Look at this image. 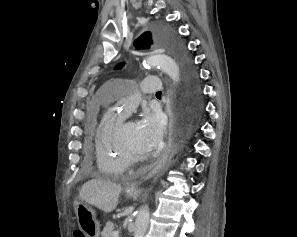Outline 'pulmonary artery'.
<instances>
[{
	"instance_id": "1",
	"label": "pulmonary artery",
	"mask_w": 297,
	"mask_h": 237,
	"mask_svg": "<svg viewBox=\"0 0 297 237\" xmlns=\"http://www.w3.org/2000/svg\"><path fill=\"white\" fill-rule=\"evenodd\" d=\"M160 89L159 79L154 76L144 78L139 86H122L119 89L120 98L117 106L121 109L122 115L126 116L132 108L138 105L142 95L151 94Z\"/></svg>"
}]
</instances>
